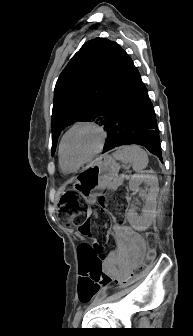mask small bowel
Segmentation results:
<instances>
[{
    "mask_svg": "<svg viewBox=\"0 0 193 336\" xmlns=\"http://www.w3.org/2000/svg\"><path fill=\"white\" fill-rule=\"evenodd\" d=\"M114 237L116 239V248L103 259V266L109 277L118 279L123 273L132 271L142 263L144 245L138 234L122 225L115 226ZM79 273L81 290L92 292L98 289L88 281V273H83L80 270V265Z\"/></svg>",
    "mask_w": 193,
    "mask_h": 336,
    "instance_id": "c3829d8e",
    "label": "small bowel"
}]
</instances>
